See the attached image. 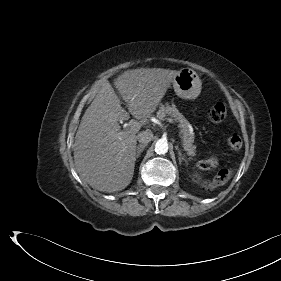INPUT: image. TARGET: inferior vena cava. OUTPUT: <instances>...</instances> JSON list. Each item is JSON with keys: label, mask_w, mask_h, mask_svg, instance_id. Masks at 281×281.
Returning a JSON list of instances; mask_svg holds the SVG:
<instances>
[{"label": "inferior vena cava", "mask_w": 281, "mask_h": 281, "mask_svg": "<svg viewBox=\"0 0 281 281\" xmlns=\"http://www.w3.org/2000/svg\"><path fill=\"white\" fill-rule=\"evenodd\" d=\"M137 140L142 145H147L150 141L153 140V133H152V131L151 130H145V131L140 132L137 135Z\"/></svg>", "instance_id": "inferior-vena-cava-1"}]
</instances>
